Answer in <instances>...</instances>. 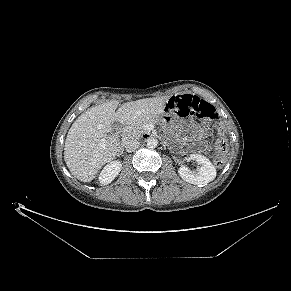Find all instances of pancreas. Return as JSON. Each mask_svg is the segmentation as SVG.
Listing matches in <instances>:
<instances>
[{
	"label": "pancreas",
	"mask_w": 291,
	"mask_h": 291,
	"mask_svg": "<svg viewBox=\"0 0 291 291\" xmlns=\"http://www.w3.org/2000/svg\"><path fill=\"white\" fill-rule=\"evenodd\" d=\"M149 123L154 124L153 121H144L125 127L123 132L124 138L126 140L129 138H139L141 135L146 133L145 125Z\"/></svg>",
	"instance_id": "cf45deb5"
}]
</instances>
